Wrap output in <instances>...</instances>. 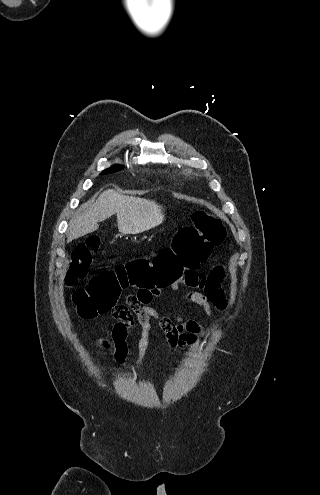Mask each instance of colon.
I'll return each instance as SVG.
<instances>
[{"mask_svg": "<svg viewBox=\"0 0 320 495\" xmlns=\"http://www.w3.org/2000/svg\"><path fill=\"white\" fill-rule=\"evenodd\" d=\"M192 220L193 225L179 229L171 247L160 251L153 260L136 258L125 264L101 268L85 288L72 294L79 315L93 318L120 309L122 305L117 301L129 285L139 288L135 296L137 302H147L149 297L144 291L158 293L160 288L180 279L185 271H193L204 263L213 248L222 244L226 230L218 218L202 209L193 213ZM99 247L97 236H91L75 247L65 276L67 285L73 286L85 278L92 254Z\"/></svg>", "mask_w": 320, "mask_h": 495, "instance_id": "1", "label": "colon"}]
</instances>
